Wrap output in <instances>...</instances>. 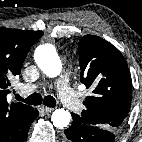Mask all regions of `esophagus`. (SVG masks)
Listing matches in <instances>:
<instances>
[{"mask_svg":"<svg viewBox=\"0 0 142 142\" xmlns=\"http://www.w3.org/2000/svg\"><path fill=\"white\" fill-rule=\"evenodd\" d=\"M41 108H42L43 111L46 112V113H50V112L53 111V108H50V107H47V106H44V105H43Z\"/></svg>","mask_w":142,"mask_h":142,"instance_id":"1","label":"esophagus"}]
</instances>
